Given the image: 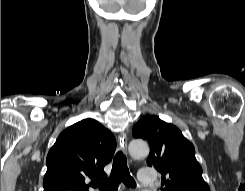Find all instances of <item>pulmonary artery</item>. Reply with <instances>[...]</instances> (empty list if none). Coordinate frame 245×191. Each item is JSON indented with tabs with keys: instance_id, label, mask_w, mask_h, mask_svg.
Returning a JSON list of instances; mask_svg holds the SVG:
<instances>
[{
	"instance_id": "pulmonary-artery-1",
	"label": "pulmonary artery",
	"mask_w": 245,
	"mask_h": 191,
	"mask_svg": "<svg viewBox=\"0 0 245 191\" xmlns=\"http://www.w3.org/2000/svg\"><path fill=\"white\" fill-rule=\"evenodd\" d=\"M138 176H139V181L141 185L152 186L156 182V175H155L154 169L151 167L142 168L139 171Z\"/></svg>"
}]
</instances>
